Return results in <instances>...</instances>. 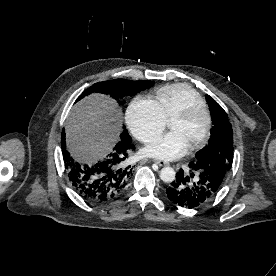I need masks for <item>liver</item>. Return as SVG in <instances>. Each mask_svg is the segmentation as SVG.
<instances>
[{"label":"liver","instance_id":"obj_1","mask_svg":"<svg viewBox=\"0 0 276 276\" xmlns=\"http://www.w3.org/2000/svg\"><path fill=\"white\" fill-rule=\"evenodd\" d=\"M65 129L71 156L77 161L96 162L118 142L121 112L113 99L93 94L72 108Z\"/></svg>","mask_w":276,"mask_h":276}]
</instances>
